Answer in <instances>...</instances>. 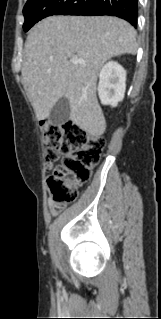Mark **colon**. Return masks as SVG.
Returning <instances> with one entry per match:
<instances>
[{
  "label": "colon",
  "instance_id": "1",
  "mask_svg": "<svg viewBox=\"0 0 161 319\" xmlns=\"http://www.w3.org/2000/svg\"><path fill=\"white\" fill-rule=\"evenodd\" d=\"M43 138L49 166L48 186L54 209L62 211L76 199L79 187L89 180L91 168L97 164L105 141L74 123H46ZM61 154L64 155L62 163L52 169L50 164Z\"/></svg>",
  "mask_w": 161,
  "mask_h": 319
}]
</instances>
